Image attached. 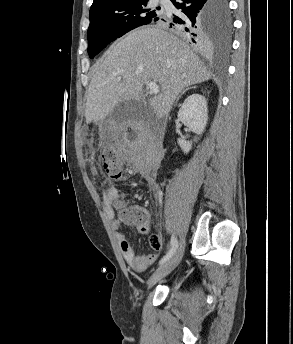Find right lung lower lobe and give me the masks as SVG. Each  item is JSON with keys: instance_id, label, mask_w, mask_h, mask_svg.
Masks as SVG:
<instances>
[{"instance_id": "right-lung-lower-lobe-1", "label": "right lung lower lobe", "mask_w": 293, "mask_h": 344, "mask_svg": "<svg viewBox=\"0 0 293 344\" xmlns=\"http://www.w3.org/2000/svg\"><path fill=\"white\" fill-rule=\"evenodd\" d=\"M180 13L173 16H162L160 22H165L177 33L192 41L202 50L210 51L222 42L216 39L220 36L218 28L213 21L214 5L216 0H171ZM232 26L228 31V43L230 44ZM223 45V44H222Z\"/></svg>"}]
</instances>
